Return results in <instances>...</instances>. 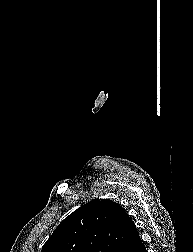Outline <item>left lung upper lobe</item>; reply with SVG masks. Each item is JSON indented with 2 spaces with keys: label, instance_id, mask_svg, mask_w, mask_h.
Listing matches in <instances>:
<instances>
[{
  "label": "left lung upper lobe",
  "instance_id": "obj_1",
  "mask_svg": "<svg viewBox=\"0 0 193 252\" xmlns=\"http://www.w3.org/2000/svg\"><path fill=\"white\" fill-rule=\"evenodd\" d=\"M135 231L122 206L95 199L65 218L41 252H122Z\"/></svg>",
  "mask_w": 193,
  "mask_h": 252
}]
</instances>
